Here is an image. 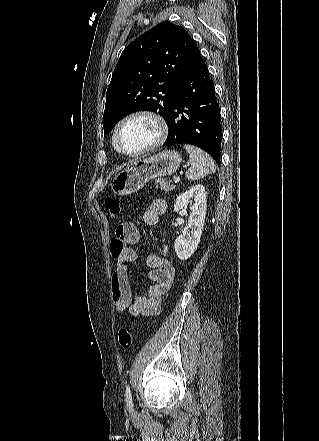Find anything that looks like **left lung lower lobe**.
<instances>
[{"label":"left lung lower lobe","instance_id":"left-lung-lower-lobe-1","mask_svg":"<svg viewBox=\"0 0 319 441\" xmlns=\"http://www.w3.org/2000/svg\"><path fill=\"white\" fill-rule=\"evenodd\" d=\"M167 125L169 131L164 146L178 143L195 145L219 164L222 140L220 110L202 58L179 84Z\"/></svg>","mask_w":319,"mask_h":441}]
</instances>
